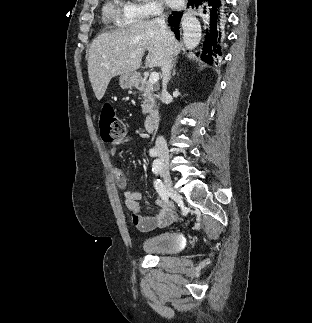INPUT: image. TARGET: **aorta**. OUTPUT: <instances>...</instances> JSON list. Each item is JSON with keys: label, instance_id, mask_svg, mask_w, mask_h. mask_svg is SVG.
<instances>
[{"label": "aorta", "instance_id": "obj_1", "mask_svg": "<svg viewBox=\"0 0 312 323\" xmlns=\"http://www.w3.org/2000/svg\"><path fill=\"white\" fill-rule=\"evenodd\" d=\"M183 36L184 44L188 50L196 48L201 40V34H199V32H187V30H185Z\"/></svg>", "mask_w": 312, "mask_h": 323}]
</instances>
